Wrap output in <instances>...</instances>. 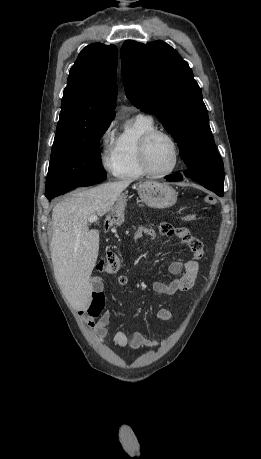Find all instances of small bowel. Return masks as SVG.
I'll return each mask as SVG.
<instances>
[{"label":"small bowel","instance_id":"small-bowel-1","mask_svg":"<svg viewBox=\"0 0 261 459\" xmlns=\"http://www.w3.org/2000/svg\"><path fill=\"white\" fill-rule=\"evenodd\" d=\"M142 231L152 237L155 236L151 229L144 228ZM167 236H176L181 239L193 252V258L186 261H173L170 263L168 270L170 274L174 276V279L169 283L155 281L153 283V290L158 296H170L177 293L188 292L192 289L196 282V278L199 271L198 260L203 255L202 242L195 236H193L185 228H171ZM128 277L121 275L117 278V284L125 286L128 283ZM94 294H103V282L101 279H94ZM173 312L170 309L160 307L156 311L157 318L163 321H169L173 318ZM111 315L108 311L102 313L97 320L89 319L88 326L99 339H104L107 335L108 326L110 323ZM114 344L118 347H123L127 344L132 345L135 348L149 349L158 346V342L145 338L138 331L126 329L123 331H117L113 338Z\"/></svg>","mask_w":261,"mask_h":459}]
</instances>
